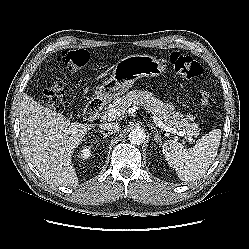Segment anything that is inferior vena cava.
I'll use <instances>...</instances> for the list:
<instances>
[{
	"instance_id": "602c4592",
	"label": "inferior vena cava",
	"mask_w": 249,
	"mask_h": 249,
	"mask_svg": "<svg viewBox=\"0 0 249 249\" xmlns=\"http://www.w3.org/2000/svg\"><path fill=\"white\" fill-rule=\"evenodd\" d=\"M100 128L113 133L119 131L121 127L118 122H107L100 124Z\"/></svg>"
}]
</instances>
